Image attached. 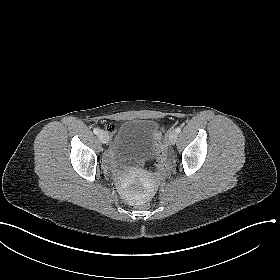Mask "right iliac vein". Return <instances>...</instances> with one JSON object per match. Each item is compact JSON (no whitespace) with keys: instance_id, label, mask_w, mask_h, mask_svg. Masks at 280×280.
I'll return each instance as SVG.
<instances>
[{"instance_id":"1","label":"right iliac vein","mask_w":280,"mask_h":280,"mask_svg":"<svg viewBox=\"0 0 280 280\" xmlns=\"http://www.w3.org/2000/svg\"><path fill=\"white\" fill-rule=\"evenodd\" d=\"M99 139L103 144L108 143V134L105 131L99 132Z\"/></svg>"}]
</instances>
